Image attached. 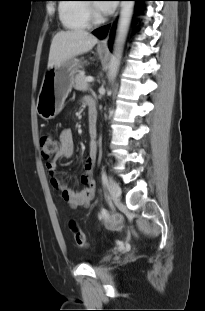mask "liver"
Masks as SVG:
<instances>
[{"label": "liver", "mask_w": 205, "mask_h": 311, "mask_svg": "<svg viewBox=\"0 0 205 311\" xmlns=\"http://www.w3.org/2000/svg\"><path fill=\"white\" fill-rule=\"evenodd\" d=\"M97 43V37L85 30L58 32L51 42L48 68L59 67L73 57L87 53Z\"/></svg>", "instance_id": "6515ba94"}]
</instances>
